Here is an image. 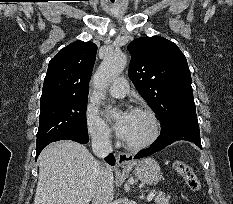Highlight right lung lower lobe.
<instances>
[{"instance_id": "obj_1", "label": "right lung lower lobe", "mask_w": 233, "mask_h": 204, "mask_svg": "<svg viewBox=\"0 0 233 204\" xmlns=\"http://www.w3.org/2000/svg\"><path fill=\"white\" fill-rule=\"evenodd\" d=\"M65 139L73 140V141H76V142L81 143V144H87L89 142V136L88 135H78V134L64 135V136H61V137L55 139L53 142L58 141V140H65ZM48 144L36 147V160H37V157L39 156L40 152L42 151V149L44 147H46ZM105 160L110 165L115 164V159H114V156L112 154H109V156H107L105 158Z\"/></svg>"}]
</instances>
